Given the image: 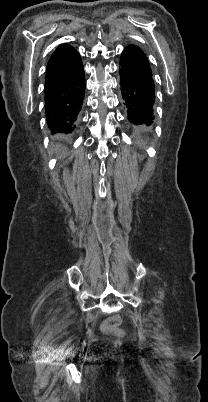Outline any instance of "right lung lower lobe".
Masks as SVG:
<instances>
[{
	"label": "right lung lower lobe",
	"mask_w": 208,
	"mask_h": 402,
	"mask_svg": "<svg viewBox=\"0 0 208 402\" xmlns=\"http://www.w3.org/2000/svg\"><path fill=\"white\" fill-rule=\"evenodd\" d=\"M44 91L51 134L73 132L85 95V76L81 57L72 46L60 45L50 57Z\"/></svg>",
	"instance_id": "98d812e1"
}]
</instances>
